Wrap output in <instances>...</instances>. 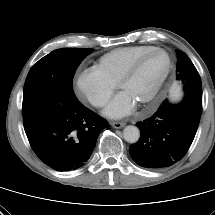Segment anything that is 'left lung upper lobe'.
I'll list each match as a JSON object with an SVG mask.
<instances>
[{
    "instance_id": "left-lung-upper-lobe-1",
    "label": "left lung upper lobe",
    "mask_w": 215,
    "mask_h": 215,
    "mask_svg": "<svg viewBox=\"0 0 215 215\" xmlns=\"http://www.w3.org/2000/svg\"><path fill=\"white\" fill-rule=\"evenodd\" d=\"M177 55V78L183 82L186 95L202 101V85L198 71L184 52L178 50Z\"/></svg>"
}]
</instances>
